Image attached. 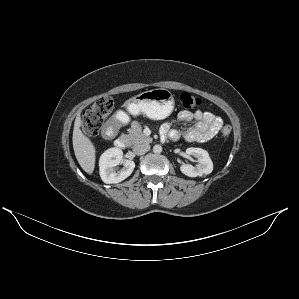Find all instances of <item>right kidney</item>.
Listing matches in <instances>:
<instances>
[{
  "instance_id": "right-kidney-1",
  "label": "right kidney",
  "mask_w": 299,
  "mask_h": 299,
  "mask_svg": "<svg viewBox=\"0 0 299 299\" xmlns=\"http://www.w3.org/2000/svg\"><path fill=\"white\" fill-rule=\"evenodd\" d=\"M123 152L119 148H110L106 150L99 159L100 176L104 183L115 184L122 182L131 175L135 168L132 160H124ZM123 163V168L115 171L114 167Z\"/></svg>"
}]
</instances>
